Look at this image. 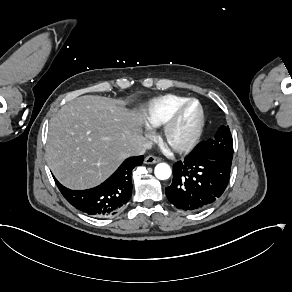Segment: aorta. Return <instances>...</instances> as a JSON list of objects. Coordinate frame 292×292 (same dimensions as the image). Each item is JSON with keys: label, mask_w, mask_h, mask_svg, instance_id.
<instances>
[{"label": "aorta", "mask_w": 292, "mask_h": 292, "mask_svg": "<svg viewBox=\"0 0 292 292\" xmlns=\"http://www.w3.org/2000/svg\"><path fill=\"white\" fill-rule=\"evenodd\" d=\"M155 176L159 180H166L171 176V169L166 163H160L155 167Z\"/></svg>", "instance_id": "1"}]
</instances>
